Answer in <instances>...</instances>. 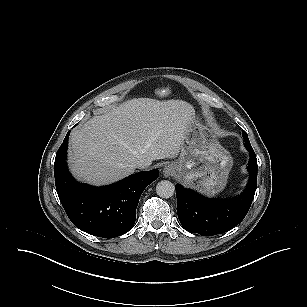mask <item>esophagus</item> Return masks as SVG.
Returning <instances> with one entry per match:
<instances>
[{
    "mask_svg": "<svg viewBox=\"0 0 307 307\" xmlns=\"http://www.w3.org/2000/svg\"><path fill=\"white\" fill-rule=\"evenodd\" d=\"M175 168L172 165H166L163 169V175L165 177H170L174 174Z\"/></svg>",
    "mask_w": 307,
    "mask_h": 307,
    "instance_id": "34e87169",
    "label": "esophagus"
}]
</instances>
